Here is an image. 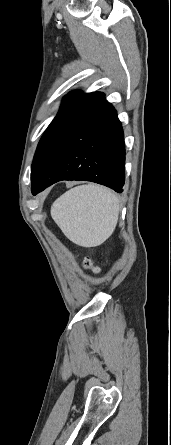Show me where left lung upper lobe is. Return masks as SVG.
I'll return each mask as SVG.
<instances>
[{"label": "left lung upper lobe", "instance_id": "obj_1", "mask_svg": "<svg viewBox=\"0 0 171 445\" xmlns=\"http://www.w3.org/2000/svg\"><path fill=\"white\" fill-rule=\"evenodd\" d=\"M104 99L101 92L83 94L80 91H73L63 99L62 107L39 141L31 166V179L66 132Z\"/></svg>", "mask_w": 171, "mask_h": 445}]
</instances>
